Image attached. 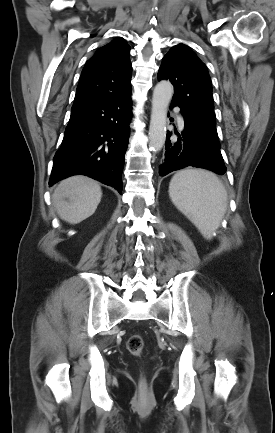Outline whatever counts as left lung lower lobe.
Here are the masks:
<instances>
[{"instance_id": "left-lung-lower-lobe-1", "label": "left lung lower lobe", "mask_w": 275, "mask_h": 433, "mask_svg": "<svg viewBox=\"0 0 275 433\" xmlns=\"http://www.w3.org/2000/svg\"><path fill=\"white\" fill-rule=\"evenodd\" d=\"M179 106L184 116V131L180 134L176 130L178 139L170 141L171 132H167L165 158L159 167L160 176L179 170L188 166L204 168L217 174H224L226 166L215 147L213 141L201 131L188 126L186 123V113L182 105L172 100L171 107Z\"/></svg>"}]
</instances>
